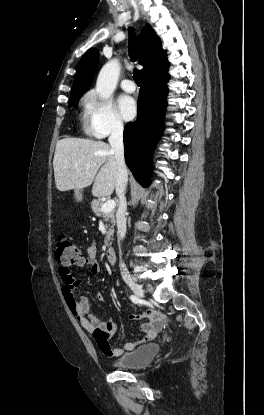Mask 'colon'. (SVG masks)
Listing matches in <instances>:
<instances>
[{
    "mask_svg": "<svg viewBox=\"0 0 264 415\" xmlns=\"http://www.w3.org/2000/svg\"><path fill=\"white\" fill-rule=\"evenodd\" d=\"M84 259L83 254L74 245L67 234H59L57 237L56 260L61 265V269H69L72 264L78 263ZM69 302L74 300L72 291L66 294Z\"/></svg>",
    "mask_w": 264,
    "mask_h": 415,
    "instance_id": "obj_1",
    "label": "colon"
}]
</instances>
